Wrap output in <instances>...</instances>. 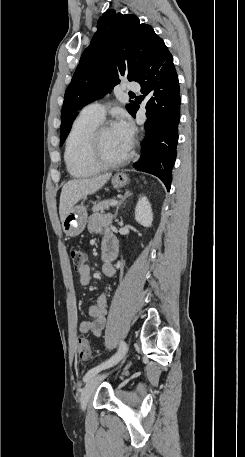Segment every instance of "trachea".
<instances>
[{
	"mask_svg": "<svg viewBox=\"0 0 245 457\" xmlns=\"http://www.w3.org/2000/svg\"><path fill=\"white\" fill-rule=\"evenodd\" d=\"M129 94H130V95H135V94H133V92H129Z\"/></svg>",
	"mask_w": 245,
	"mask_h": 457,
	"instance_id": "obj_1",
	"label": "trachea"
}]
</instances>
